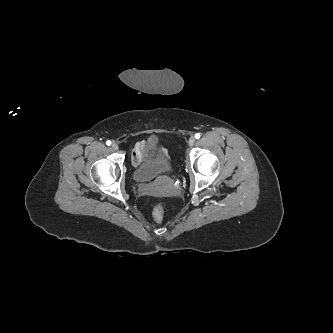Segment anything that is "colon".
<instances>
[{
    "mask_svg": "<svg viewBox=\"0 0 333 333\" xmlns=\"http://www.w3.org/2000/svg\"><path fill=\"white\" fill-rule=\"evenodd\" d=\"M153 218L157 223H161L164 218V208L161 205H157L153 210Z\"/></svg>",
    "mask_w": 333,
    "mask_h": 333,
    "instance_id": "obj_1",
    "label": "colon"
}]
</instances>
